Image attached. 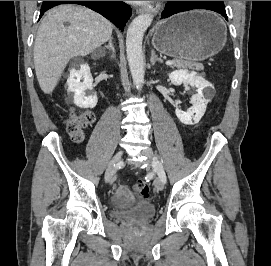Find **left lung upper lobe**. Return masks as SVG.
<instances>
[{
	"label": "left lung upper lobe",
	"instance_id": "left-lung-upper-lobe-1",
	"mask_svg": "<svg viewBox=\"0 0 271 266\" xmlns=\"http://www.w3.org/2000/svg\"><path fill=\"white\" fill-rule=\"evenodd\" d=\"M208 2H212L220 6H225L223 1H208Z\"/></svg>",
	"mask_w": 271,
	"mask_h": 266
}]
</instances>
